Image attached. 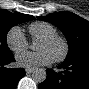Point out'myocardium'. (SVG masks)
<instances>
[{"label":"myocardium","mask_w":89,"mask_h":89,"mask_svg":"<svg viewBox=\"0 0 89 89\" xmlns=\"http://www.w3.org/2000/svg\"><path fill=\"white\" fill-rule=\"evenodd\" d=\"M39 40L44 41V42H49V43L58 41L63 45L62 52L53 59L55 62L59 63V62L64 61L67 58L69 54L70 46H69V42L67 41V39L64 38L63 36L55 34V35L42 37Z\"/></svg>","instance_id":"myocardium-1"}]
</instances>
